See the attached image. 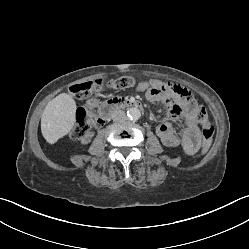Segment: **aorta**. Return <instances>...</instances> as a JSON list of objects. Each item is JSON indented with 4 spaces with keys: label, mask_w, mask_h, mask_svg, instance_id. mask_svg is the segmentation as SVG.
I'll list each match as a JSON object with an SVG mask.
<instances>
[{
    "label": "aorta",
    "mask_w": 249,
    "mask_h": 249,
    "mask_svg": "<svg viewBox=\"0 0 249 249\" xmlns=\"http://www.w3.org/2000/svg\"><path fill=\"white\" fill-rule=\"evenodd\" d=\"M127 116L130 120H138L141 117V113L138 108L131 107L127 111Z\"/></svg>",
    "instance_id": "aorta-1"
}]
</instances>
